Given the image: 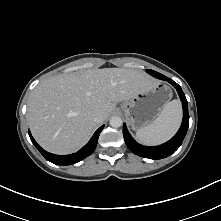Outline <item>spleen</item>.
I'll return each instance as SVG.
<instances>
[{"label": "spleen", "mask_w": 221, "mask_h": 221, "mask_svg": "<svg viewBox=\"0 0 221 221\" xmlns=\"http://www.w3.org/2000/svg\"><path fill=\"white\" fill-rule=\"evenodd\" d=\"M182 112L178 100L165 104L159 116L148 126L136 132V139L145 145H157L167 141L178 130Z\"/></svg>", "instance_id": "1"}]
</instances>
